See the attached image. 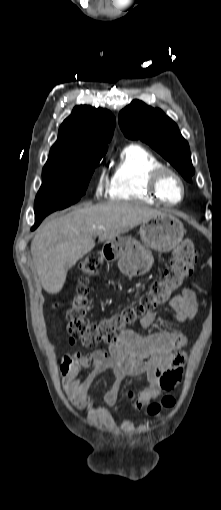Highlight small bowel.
Returning <instances> with one entry per match:
<instances>
[{
  "label": "small bowel",
  "instance_id": "small-bowel-1",
  "mask_svg": "<svg viewBox=\"0 0 221 510\" xmlns=\"http://www.w3.org/2000/svg\"><path fill=\"white\" fill-rule=\"evenodd\" d=\"M169 304L173 314L163 320L167 325L193 321L197 315L196 294L190 288H184L180 294L172 297ZM157 322L158 318L153 313H147L140 319V325L145 329L154 327ZM187 341L188 337L183 332L142 336L126 330L107 348L92 353H66L59 367L63 389L78 409H86L89 405V389L98 376L110 370L114 380L103 396V404L112 406L126 376L145 375L149 385L139 391L134 399V408L142 410L151 400L171 395L181 380ZM69 343L73 345L75 340L70 338ZM81 371H86V375L81 376ZM129 397L133 398V395L130 393Z\"/></svg>",
  "mask_w": 221,
  "mask_h": 510
}]
</instances>
